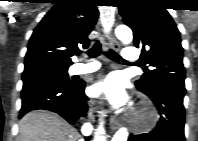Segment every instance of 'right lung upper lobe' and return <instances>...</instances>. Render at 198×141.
<instances>
[{
    "instance_id": "right-lung-upper-lobe-1",
    "label": "right lung upper lobe",
    "mask_w": 198,
    "mask_h": 141,
    "mask_svg": "<svg viewBox=\"0 0 198 141\" xmlns=\"http://www.w3.org/2000/svg\"><path fill=\"white\" fill-rule=\"evenodd\" d=\"M97 17L93 0H59L33 31L24 72L72 65L78 44L89 45L88 35Z\"/></svg>"
}]
</instances>
